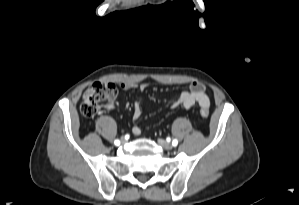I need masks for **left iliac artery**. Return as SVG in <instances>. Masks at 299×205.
Returning a JSON list of instances; mask_svg holds the SVG:
<instances>
[{
  "label": "left iliac artery",
  "mask_w": 299,
  "mask_h": 205,
  "mask_svg": "<svg viewBox=\"0 0 299 205\" xmlns=\"http://www.w3.org/2000/svg\"><path fill=\"white\" fill-rule=\"evenodd\" d=\"M177 144H178L177 139H174V140L172 141V145H173V146H177Z\"/></svg>",
  "instance_id": "44dca946"
}]
</instances>
